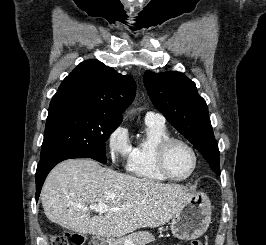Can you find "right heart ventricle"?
Wrapping results in <instances>:
<instances>
[{
	"label": "right heart ventricle",
	"instance_id": "right-heart-ventricle-1",
	"mask_svg": "<svg viewBox=\"0 0 266 245\" xmlns=\"http://www.w3.org/2000/svg\"><path fill=\"white\" fill-rule=\"evenodd\" d=\"M147 135L136 141L129 159V172L139 180L148 184H162L166 179L158 169L156 150L159 143L171 136L165 123L145 121Z\"/></svg>",
	"mask_w": 266,
	"mask_h": 245
}]
</instances>
